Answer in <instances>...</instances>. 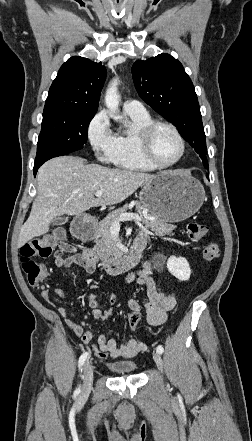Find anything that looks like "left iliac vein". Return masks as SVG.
Wrapping results in <instances>:
<instances>
[{
  "instance_id": "4c4485c4",
  "label": "left iliac vein",
  "mask_w": 252,
  "mask_h": 441,
  "mask_svg": "<svg viewBox=\"0 0 252 441\" xmlns=\"http://www.w3.org/2000/svg\"><path fill=\"white\" fill-rule=\"evenodd\" d=\"M153 359H154L158 369L160 371H162V369H163V359H162L161 355L159 353H154L153 354Z\"/></svg>"
}]
</instances>
